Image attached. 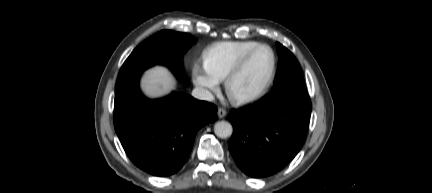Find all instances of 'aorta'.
<instances>
[{
    "label": "aorta",
    "instance_id": "762f6f07",
    "mask_svg": "<svg viewBox=\"0 0 432 193\" xmlns=\"http://www.w3.org/2000/svg\"><path fill=\"white\" fill-rule=\"evenodd\" d=\"M214 133L219 138H228L233 133L232 125L227 121H218L214 125Z\"/></svg>",
    "mask_w": 432,
    "mask_h": 193
}]
</instances>
